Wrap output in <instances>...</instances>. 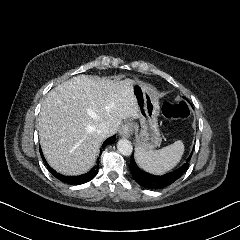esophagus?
I'll return each mask as SVG.
<instances>
[{
	"label": "esophagus",
	"mask_w": 240,
	"mask_h": 240,
	"mask_svg": "<svg viewBox=\"0 0 240 240\" xmlns=\"http://www.w3.org/2000/svg\"><path fill=\"white\" fill-rule=\"evenodd\" d=\"M133 132V125L130 122H127L122 125V127L119 129V134L121 137L129 138Z\"/></svg>",
	"instance_id": "34e87169"
}]
</instances>
